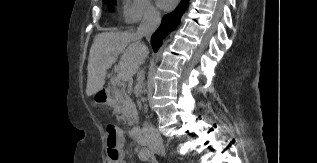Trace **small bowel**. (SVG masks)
Instances as JSON below:
<instances>
[{"label": "small bowel", "instance_id": "1", "mask_svg": "<svg viewBox=\"0 0 317 163\" xmlns=\"http://www.w3.org/2000/svg\"><path fill=\"white\" fill-rule=\"evenodd\" d=\"M138 159L143 163H157L151 159V153L149 149L144 147H137L135 149ZM121 163H124L123 161Z\"/></svg>", "mask_w": 317, "mask_h": 163}]
</instances>
